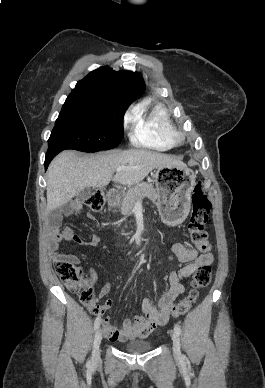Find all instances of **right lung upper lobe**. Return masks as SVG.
I'll return each mask as SVG.
<instances>
[{"instance_id": "obj_1", "label": "right lung upper lobe", "mask_w": 265, "mask_h": 388, "mask_svg": "<svg viewBox=\"0 0 265 388\" xmlns=\"http://www.w3.org/2000/svg\"><path fill=\"white\" fill-rule=\"evenodd\" d=\"M144 90L145 84L139 74L101 67L79 81L71 94L110 95L134 101Z\"/></svg>"}]
</instances>
